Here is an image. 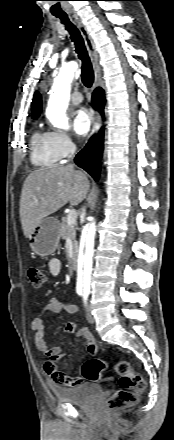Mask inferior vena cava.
<instances>
[{
    "mask_svg": "<svg viewBox=\"0 0 174 440\" xmlns=\"http://www.w3.org/2000/svg\"><path fill=\"white\" fill-rule=\"evenodd\" d=\"M82 212L85 213V208L82 209Z\"/></svg>",
    "mask_w": 174,
    "mask_h": 440,
    "instance_id": "602c4592",
    "label": "inferior vena cava"
}]
</instances>
